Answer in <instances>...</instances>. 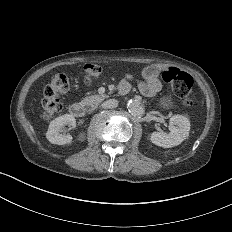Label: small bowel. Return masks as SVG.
<instances>
[{
  "instance_id": "small-bowel-1",
  "label": "small bowel",
  "mask_w": 232,
  "mask_h": 232,
  "mask_svg": "<svg viewBox=\"0 0 232 232\" xmlns=\"http://www.w3.org/2000/svg\"><path fill=\"white\" fill-rule=\"evenodd\" d=\"M159 70L158 65H153L144 73L145 83L143 84V92L146 96H154L160 88V84L156 79V74Z\"/></svg>"
}]
</instances>
